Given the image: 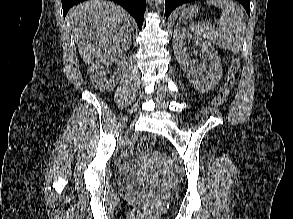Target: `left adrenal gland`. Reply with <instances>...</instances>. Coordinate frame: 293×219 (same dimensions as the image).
I'll return each instance as SVG.
<instances>
[{
	"label": "left adrenal gland",
	"instance_id": "a2214340",
	"mask_svg": "<svg viewBox=\"0 0 293 219\" xmlns=\"http://www.w3.org/2000/svg\"><path fill=\"white\" fill-rule=\"evenodd\" d=\"M180 22H181V21L179 20V22L177 23V26L179 25Z\"/></svg>",
	"mask_w": 293,
	"mask_h": 219
}]
</instances>
